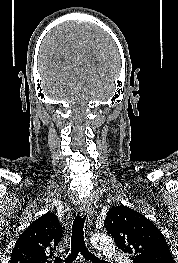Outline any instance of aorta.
<instances>
[{
	"instance_id": "obj_1",
	"label": "aorta",
	"mask_w": 178,
	"mask_h": 263,
	"mask_svg": "<svg viewBox=\"0 0 178 263\" xmlns=\"http://www.w3.org/2000/svg\"><path fill=\"white\" fill-rule=\"evenodd\" d=\"M92 244L103 252L105 256L111 257L115 253L113 240L106 234H95L91 238Z\"/></svg>"
}]
</instances>
